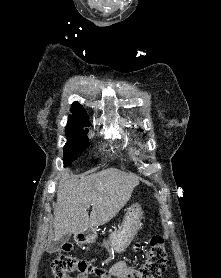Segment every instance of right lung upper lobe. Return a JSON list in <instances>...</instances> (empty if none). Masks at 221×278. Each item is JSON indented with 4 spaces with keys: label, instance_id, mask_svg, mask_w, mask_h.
Listing matches in <instances>:
<instances>
[{
    "label": "right lung upper lobe",
    "instance_id": "cb5924a9",
    "mask_svg": "<svg viewBox=\"0 0 221 278\" xmlns=\"http://www.w3.org/2000/svg\"><path fill=\"white\" fill-rule=\"evenodd\" d=\"M72 115L69 117V122L75 121V122H81L84 124H89L88 122V116L83 109V107L78 103L74 102L71 107Z\"/></svg>",
    "mask_w": 221,
    "mask_h": 278
}]
</instances>
